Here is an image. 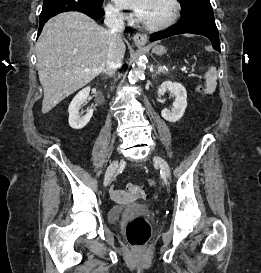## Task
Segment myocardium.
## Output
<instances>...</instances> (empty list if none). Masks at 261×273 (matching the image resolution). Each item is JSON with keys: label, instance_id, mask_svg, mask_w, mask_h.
Instances as JSON below:
<instances>
[{"label": "myocardium", "instance_id": "myocardium-1", "mask_svg": "<svg viewBox=\"0 0 261 273\" xmlns=\"http://www.w3.org/2000/svg\"><path fill=\"white\" fill-rule=\"evenodd\" d=\"M167 2L171 6V12L169 17L160 23H155V24L144 23V27L146 29L151 31H159V30L168 28L169 26H171L172 24L176 22L181 11V5L179 3V0H167Z\"/></svg>", "mask_w": 261, "mask_h": 273}]
</instances>
